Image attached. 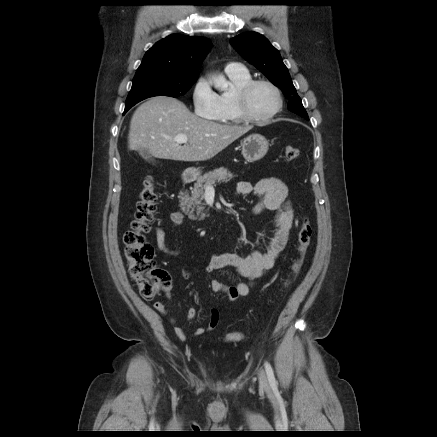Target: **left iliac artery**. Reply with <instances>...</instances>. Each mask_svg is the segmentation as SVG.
I'll return each mask as SVG.
<instances>
[{"label":"left iliac artery","instance_id":"obj_1","mask_svg":"<svg viewBox=\"0 0 437 437\" xmlns=\"http://www.w3.org/2000/svg\"><path fill=\"white\" fill-rule=\"evenodd\" d=\"M264 365H265V370H266V373H267V376H268V380H269L270 386L273 389H276L277 388V382H276V379H275V376H274L273 369H272L270 363H268V362H265Z\"/></svg>","mask_w":437,"mask_h":437}]
</instances>
